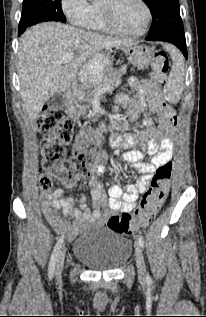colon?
<instances>
[{"mask_svg":"<svg viewBox=\"0 0 206 317\" xmlns=\"http://www.w3.org/2000/svg\"><path fill=\"white\" fill-rule=\"evenodd\" d=\"M151 79L156 86L166 80L169 68L168 57L163 51H155L150 62ZM170 122L176 123V116ZM38 131L43 135L41 143L42 167L50 171L64 184L75 182L91 173L96 163V151L100 145V135L92 128H85L77 137L72 156L67 155V147L73 139L74 124L63 109L45 106L37 123ZM173 163L171 161L158 167L152 175L150 187L143 194L140 205L133 214L122 212L112 215L107 220L108 227L118 233L134 234L140 228L147 226L157 215L168 194ZM52 186V179L43 175L40 188L43 192Z\"/></svg>","mask_w":206,"mask_h":317,"instance_id":"obj_1","label":"colon"}]
</instances>
